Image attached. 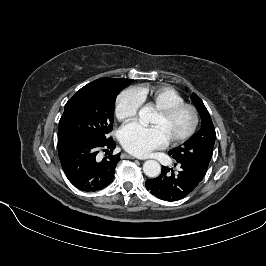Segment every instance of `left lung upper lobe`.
<instances>
[{"label":"left lung upper lobe","mask_w":266,"mask_h":266,"mask_svg":"<svg viewBox=\"0 0 266 266\" xmlns=\"http://www.w3.org/2000/svg\"><path fill=\"white\" fill-rule=\"evenodd\" d=\"M191 99L200 114L202 128L181 146L170 150L168 154L177 163L185 165L203 178L212 157L216 133L210 114L202 100L195 93Z\"/></svg>","instance_id":"1"}]
</instances>
